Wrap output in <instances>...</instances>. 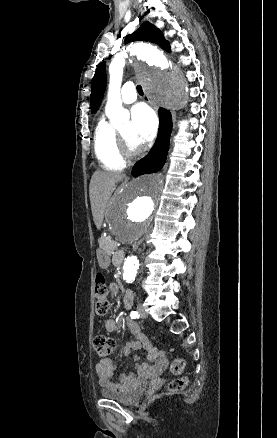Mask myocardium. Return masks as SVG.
<instances>
[{
  "label": "myocardium",
  "instance_id": "1",
  "mask_svg": "<svg viewBox=\"0 0 277 438\" xmlns=\"http://www.w3.org/2000/svg\"><path fill=\"white\" fill-rule=\"evenodd\" d=\"M108 78L110 77L108 76ZM116 143L123 158L127 159L137 155L138 152L130 147L125 137L119 132H116Z\"/></svg>",
  "mask_w": 277,
  "mask_h": 438
}]
</instances>
